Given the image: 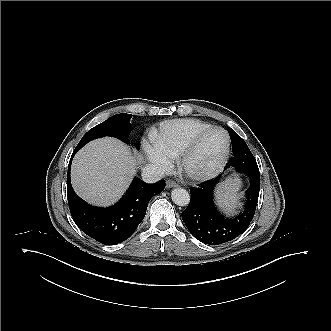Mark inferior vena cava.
Instances as JSON below:
<instances>
[{
  "instance_id": "1",
  "label": "inferior vena cava",
  "mask_w": 331,
  "mask_h": 331,
  "mask_svg": "<svg viewBox=\"0 0 331 331\" xmlns=\"http://www.w3.org/2000/svg\"><path fill=\"white\" fill-rule=\"evenodd\" d=\"M142 180L146 183H156L164 178V172L161 167L155 164H146L142 169Z\"/></svg>"
}]
</instances>
